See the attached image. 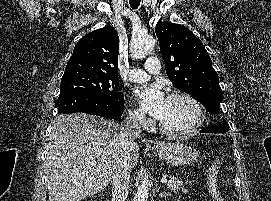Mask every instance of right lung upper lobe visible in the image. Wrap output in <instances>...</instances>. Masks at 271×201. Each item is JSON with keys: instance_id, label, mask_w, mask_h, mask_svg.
<instances>
[{"instance_id": "1", "label": "right lung upper lobe", "mask_w": 271, "mask_h": 201, "mask_svg": "<svg viewBox=\"0 0 271 201\" xmlns=\"http://www.w3.org/2000/svg\"><path fill=\"white\" fill-rule=\"evenodd\" d=\"M119 37L112 26L83 36L76 44L65 71L85 70L118 75Z\"/></svg>"}]
</instances>
